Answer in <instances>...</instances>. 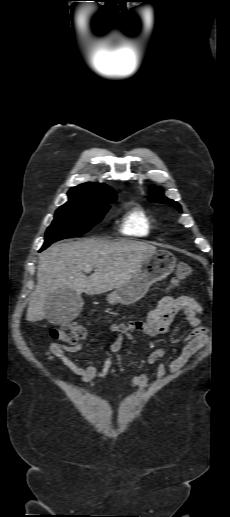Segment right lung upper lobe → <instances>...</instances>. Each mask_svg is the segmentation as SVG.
Wrapping results in <instances>:
<instances>
[{
	"label": "right lung upper lobe",
	"instance_id": "obj_1",
	"mask_svg": "<svg viewBox=\"0 0 230 517\" xmlns=\"http://www.w3.org/2000/svg\"><path fill=\"white\" fill-rule=\"evenodd\" d=\"M113 190L105 184L84 183L68 191L69 201H85L100 198Z\"/></svg>",
	"mask_w": 230,
	"mask_h": 517
}]
</instances>
